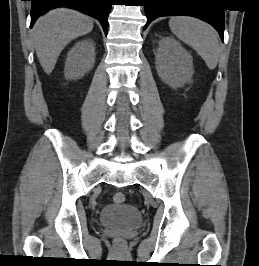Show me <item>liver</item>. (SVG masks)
<instances>
[{
  "instance_id": "1",
  "label": "liver",
  "mask_w": 259,
  "mask_h": 266,
  "mask_svg": "<svg viewBox=\"0 0 259 266\" xmlns=\"http://www.w3.org/2000/svg\"><path fill=\"white\" fill-rule=\"evenodd\" d=\"M93 20L78 11L54 9L41 16L32 29V39L38 60L50 74L64 47L77 37L90 33Z\"/></svg>"
}]
</instances>
